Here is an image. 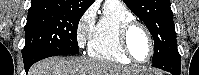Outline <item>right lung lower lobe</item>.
Instances as JSON below:
<instances>
[{"mask_svg": "<svg viewBox=\"0 0 199 75\" xmlns=\"http://www.w3.org/2000/svg\"><path fill=\"white\" fill-rule=\"evenodd\" d=\"M39 60H41V55L38 52L29 53L28 55L23 56L24 67H25L26 73L28 72L31 65Z\"/></svg>", "mask_w": 199, "mask_h": 75, "instance_id": "98d812e1", "label": "right lung lower lobe"}]
</instances>
